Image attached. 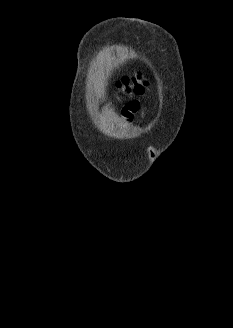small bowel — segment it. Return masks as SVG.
<instances>
[{
	"label": "small bowel",
	"instance_id": "obj_1",
	"mask_svg": "<svg viewBox=\"0 0 233 328\" xmlns=\"http://www.w3.org/2000/svg\"><path fill=\"white\" fill-rule=\"evenodd\" d=\"M141 102L138 100H133L128 102L122 111V117L125 122H130L133 120L135 114L140 110Z\"/></svg>",
	"mask_w": 233,
	"mask_h": 328
}]
</instances>
